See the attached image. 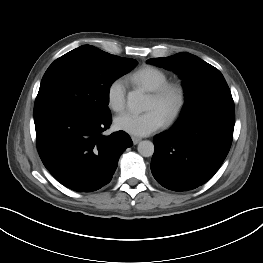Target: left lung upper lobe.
<instances>
[{"label":"left lung upper lobe","mask_w":263,"mask_h":263,"mask_svg":"<svg viewBox=\"0 0 263 263\" xmlns=\"http://www.w3.org/2000/svg\"><path fill=\"white\" fill-rule=\"evenodd\" d=\"M179 74L185 90V105L179 120H188L220 107L234 108L229 87L222 73L197 56L182 52L147 61Z\"/></svg>","instance_id":"left-lung-upper-lobe-1"}]
</instances>
